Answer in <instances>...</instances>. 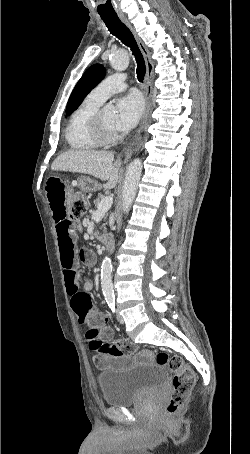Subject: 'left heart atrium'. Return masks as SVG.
Instances as JSON below:
<instances>
[{"mask_svg": "<svg viewBox=\"0 0 250 454\" xmlns=\"http://www.w3.org/2000/svg\"><path fill=\"white\" fill-rule=\"evenodd\" d=\"M145 102L143 96L132 91L117 101V111L114 120L115 129L126 131L133 128L143 114Z\"/></svg>", "mask_w": 250, "mask_h": 454, "instance_id": "left-heart-atrium-1", "label": "left heart atrium"}]
</instances>
